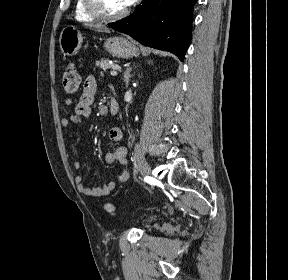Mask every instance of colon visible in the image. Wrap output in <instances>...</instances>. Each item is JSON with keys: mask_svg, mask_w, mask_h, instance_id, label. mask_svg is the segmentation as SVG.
Returning a JSON list of instances; mask_svg holds the SVG:
<instances>
[{"mask_svg": "<svg viewBox=\"0 0 288 280\" xmlns=\"http://www.w3.org/2000/svg\"><path fill=\"white\" fill-rule=\"evenodd\" d=\"M62 85L64 91L69 95L74 94L78 90L80 85V75L74 64H69L65 68L62 76ZM104 209L108 213H113L115 207L111 203H106Z\"/></svg>", "mask_w": 288, "mask_h": 280, "instance_id": "5ec220e1", "label": "colon"}]
</instances>
